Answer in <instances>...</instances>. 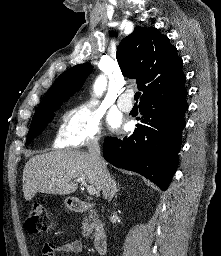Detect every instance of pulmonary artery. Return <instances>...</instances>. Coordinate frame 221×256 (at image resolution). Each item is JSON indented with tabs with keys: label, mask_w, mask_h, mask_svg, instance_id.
I'll list each match as a JSON object with an SVG mask.
<instances>
[{
	"label": "pulmonary artery",
	"mask_w": 221,
	"mask_h": 256,
	"mask_svg": "<svg viewBox=\"0 0 221 256\" xmlns=\"http://www.w3.org/2000/svg\"><path fill=\"white\" fill-rule=\"evenodd\" d=\"M132 96L133 93L131 91H125L120 95V97L117 100V104L122 111H131V109L133 108Z\"/></svg>",
	"instance_id": "obj_1"
}]
</instances>
